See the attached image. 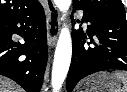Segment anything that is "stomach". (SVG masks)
Returning <instances> with one entry per match:
<instances>
[{"mask_svg":"<svg viewBox=\"0 0 127 92\" xmlns=\"http://www.w3.org/2000/svg\"><path fill=\"white\" fill-rule=\"evenodd\" d=\"M120 88V81L112 74L99 73L84 81L81 92H115Z\"/></svg>","mask_w":127,"mask_h":92,"instance_id":"obj_1","label":"stomach"}]
</instances>
